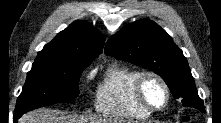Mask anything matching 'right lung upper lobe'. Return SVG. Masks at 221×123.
Instances as JSON below:
<instances>
[{
	"label": "right lung upper lobe",
	"instance_id": "cb5924a9",
	"mask_svg": "<svg viewBox=\"0 0 221 123\" xmlns=\"http://www.w3.org/2000/svg\"><path fill=\"white\" fill-rule=\"evenodd\" d=\"M104 36L85 21H75L38 52L36 60L89 64L101 52Z\"/></svg>",
	"mask_w": 221,
	"mask_h": 123
}]
</instances>
